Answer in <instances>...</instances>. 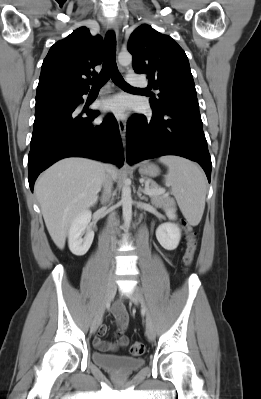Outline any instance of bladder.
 <instances>
[{
    "instance_id": "31cf9c89",
    "label": "bladder",
    "mask_w": 261,
    "mask_h": 399,
    "mask_svg": "<svg viewBox=\"0 0 261 399\" xmlns=\"http://www.w3.org/2000/svg\"><path fill=\"white\" fill-rule=\"evenodd\" d=\"M92 360L104 370L115 374H133L144 365L143 358L116 354L107 355L97 351L92 352Z\"/></svg>"
}]
</instances>
